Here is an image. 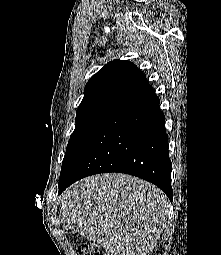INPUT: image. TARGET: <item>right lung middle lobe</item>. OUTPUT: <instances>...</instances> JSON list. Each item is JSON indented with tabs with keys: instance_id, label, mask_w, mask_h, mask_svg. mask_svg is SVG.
Returning <instances> with one entry per match:
<instances>
[{
	"instance_id": "dd1d6c3e",
	"label": "right lung middle lobe",
	"mask_w": 221,
	"mask_h": 255,
	"mask_svg": "<svg viewBox=\"0 0 221 255\" xmlns=\"http://www.w3.org/2000/svg\"><path fill=\"white\" fill-rule=\"evenodd\" d=\"M117 108L105 106L77 113L75 130L70 137L62 162L60 180L67 175Z\"/></svg>"
}]
</instances>
